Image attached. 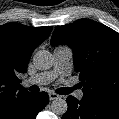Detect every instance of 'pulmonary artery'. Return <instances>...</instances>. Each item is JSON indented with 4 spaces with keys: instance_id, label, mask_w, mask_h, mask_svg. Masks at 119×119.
I'll use <instances>...</instances> for the list:
<instances>
[{
    "instance_id": "1",
    "label": "pulmonary artery",
    "mask_w": 119,
    "mask_h": 119,
    "mask_svg": "<svg viewBox=\"0 0 119 119\" xmlns=\"http://www.w3.org/2000/svg\"><path fill=\"white\" fill-rule=\"evenodd\" d=\"M54 68L51 71H46L38 73L27 80H25L26 85H45L53 81L56 76L64 71L69 60L71 59L72 52L71 49L66 46L57 47L54 50ZM78 98L83 97V92L78 91L76 93Z\"/></svg>"
}]
</instances>
